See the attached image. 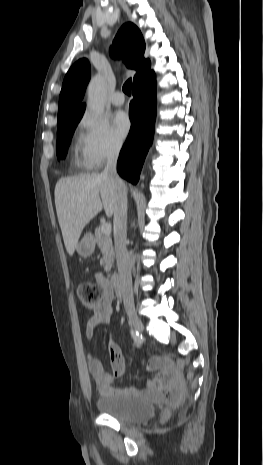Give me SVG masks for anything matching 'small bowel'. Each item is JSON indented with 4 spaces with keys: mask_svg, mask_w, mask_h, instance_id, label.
<instances>
[{
    "mask_svg": "<svg viewBox=\"0 0 263 465\" xmlns=\"http://www.w3.org/2000/svg\"><path fill=\"white\" fill-rule=\"evenodd\" d=\"M96 281L104 289L102 301L93 307L92 317L86 325V337L91 340L94 337L96 328L110 320L113 314V290L110 282L101 274L96 275ZM112 372H107L103 363L93 354L88 355V369L98 393L102 396L110 394L133 393L134 388L118 389L112 386L116 378L122 377L126 373L125 359L120 347L110 342L108 346ZM147 370L157 372L155 377L149 381L145 390V395L154 401L177 402L184 390L180 374L173 366L172 362L165 357L151 358L147 364Z\"/></svg>",
    "mask_w": 263,
    "mask_h": 465,
    "instance_id": "c3829d8e",
    "label": "small bowel"
}]
</instances>
